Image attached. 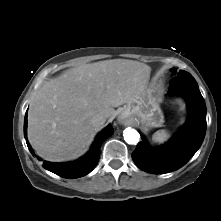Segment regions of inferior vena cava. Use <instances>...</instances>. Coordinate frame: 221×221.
I'll list each match as a JSON object with an SVG mask.
<instances>
[{"label":"inferior vena cava","mask_w":221,"mask_h":221,"mask_svg":"<svg viewBox=\"0 0 221 221\" xmlns=\"http://www.w3.org/2000/svg\"><path fill=\"white\" fill-rule=\"evenodd\" d=\"M105 121H106L105 116L97 114L91 119V124L94 127H99L102 126L105 123Z\"/></svg>","instance_id":"obj_1"}]
</instances>
